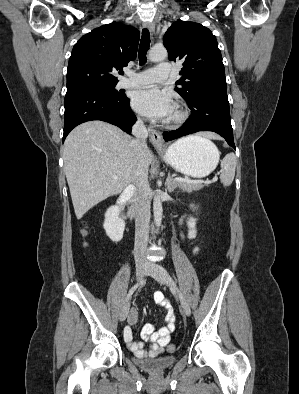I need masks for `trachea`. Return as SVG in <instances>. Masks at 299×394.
<instances>
[{
    "instance_id": "3493384b",
    "label": "trachea",
    "mask_w": 299,
    "mask_h": 394,
    "mask_svg": "<svg viewBox=\"0 0 299 394\" xmlns=\"http://www.w3.org/2000/svg\"><path fill=\"white\" fill-rule=\"evenodd\" d=\"M150 47V33L147 28L142 30V37L139 46L138 56H139V64L144 65L146 63V54ZM123 74V72H121Z\"/></svg>"
}]
</instances>
